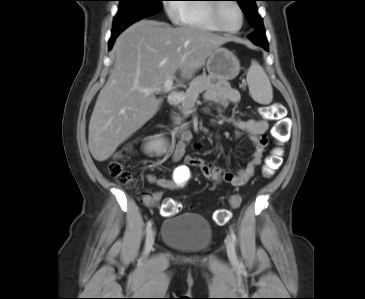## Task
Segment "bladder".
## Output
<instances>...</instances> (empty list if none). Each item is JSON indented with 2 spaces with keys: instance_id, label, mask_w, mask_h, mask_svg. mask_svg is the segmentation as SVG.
I'll use <instances>...</instances> for the list:
<instances>
[{
  "instance_id": "31cf9c89",
  "label": "bladder",
  "mask_w": 365,
  "mask_h": 299,
  "mask_svg": "<svg viewBox=\"0 0 365 299\" xmlns=\"http://www.w3.org/2000/svg\"><path fill=\"white\" fill-rule=\"evenodd\" d=\"M161 241L181 253L202 254L211 247L213 232L202 215L182 213L164 221Z\"/></svg>"
}]
</instances>
